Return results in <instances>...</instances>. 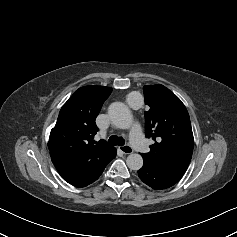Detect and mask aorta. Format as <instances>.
Masks as SVG:
<instances>
[{
  "instance_id": "aorta-1",
  "label": "aorta",
  "mask_w": 237,
  "mask_h": 237,
  "mask_svg": "<svg viewBox=\"0 0 237 237\" xmlns=\"http://www.w3.org/2000/svg\"><path fill=\"white\" fill-rule=\"evenodd\" d=\"M108 115L111 122L120 129H127L132 124V115L128 107L122 102H114L109 106ZM127 166L131 170H139L143 166V158L140 154L132 153L126 159Z\"/></svg>"
}]
</instances>
